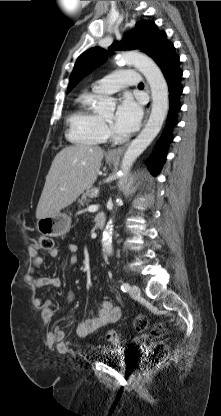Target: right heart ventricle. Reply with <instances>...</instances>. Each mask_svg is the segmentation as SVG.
I'll list each match as a JSON object with an SVG mask.
<instances>
[{
  "label": "right heart ventricle",
  "instance_id": "obj_1",
  "mask_svg": "<svg viewBox=\"0 0 221 416\" xmlns=\"http://www.w3.org/2000/svg\"><path fill=\"white\" fill-rule=\"evenodd\" d=\"M98 94L82 93L68 118V138L77 144L98 145L105 141L106 133L101 117L93 110Z\"/></svg>",
  "mask_w": 221,
  "mask_h": 416
}]
</instances>
